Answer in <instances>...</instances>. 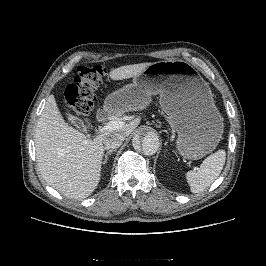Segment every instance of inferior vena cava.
<instances>
[{"instance_id":"1","label":"inferior vena cava","mask_w":266,"mask_h":266,"mask_svg":"<svg viewBox=\"0 0 266 266\" xmlns=\"http://www.w3.org/2000/svg\"><path fill=\"white\" fill-rule=\"evenodd\" d=\"M125 139V135L120 134V133H111L108 134L104 140L103 144L107 149H116L121 146L122 142Z\"/></svg>"}]
</instances>
